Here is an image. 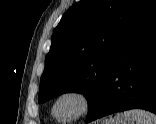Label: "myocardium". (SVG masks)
I'll list each match as a JSON object with an SVG mask.
<instances>
[{"mask_svg": "<svg viewBox=\"0 0 156 124\" xmlns=\"http://www.w3.org/2000/svg\"><path fill=\"white\" fill-rule=\"evenodd\" d=\"M67 95L78 96L82 101L83 107L77 115L62 118L56 115L55 107L58 101ZM93 107H94V97L89 91L80 87H71L62 90L54 97L50 105V112L54 117L61 119L63 122H73L81 120L84 117L88 116L92 112Z\"/></svg>", "mask_w": 156, "mask_h": 124, "instance_id": "myocardium-1", "label": "myocardium"}]
</instances>
